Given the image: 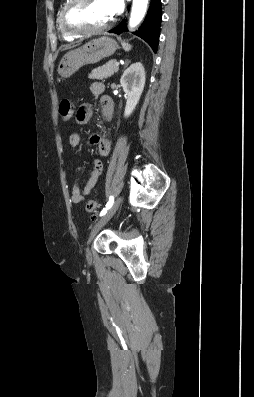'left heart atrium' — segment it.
Listing matches in <instances>:
<instances>
[{
  "label": "left heart atrium",
  "instance_id": "obj_1",
  "mask_svg": "<svg viewBox=\"0 0 254 397\" xmlns=\"http://www.w3.org/2000/svg\"><path fill=\"white\" fill-rule=\"evenodd\" d=\"M103 2L111 17L120 13L123 9V0H103Z\"/></svg>",
  "mask_w": 254,
  "mask_h": 397
}]
</instances>
